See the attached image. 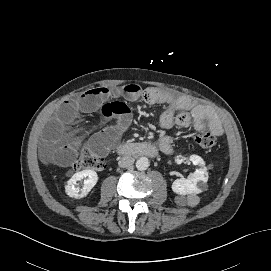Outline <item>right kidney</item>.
Wrapping results in <instances>:
<instances>
[{
    "instance_id": "right-kidney-1",
    "label": "right kidney",
    "mask_w": 271,
    "mask_h": 271,
    "mask_svg": "<svg viewBox=\"0 0 271 271\" xmlns=\"http://www.w3.org/2000/svg\"><path fill=\"white\" fill-rule=\"evenodd\" d=\"M84 179L83 186L79 187L78 181ZM98 181V175L94 170L86 169L75 173L68 184L65 186V192L69 197L81 199L88 195Z\"/></svg>"
}]
</instances>
